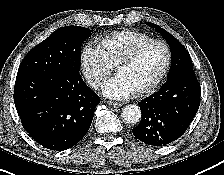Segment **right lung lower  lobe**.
<instances>
[{
  "mask_svg": "<svg viewBox=\"0 0 224 175\" xmlns=\"http://www.w3.org/2000/svg\"><path fill=\"white\" fill-rule=\"evenodd\" d=\"M14 102L31 137L50 150H66L87 133L100 103L81 75L17 74Z\"/></svg>",
  "mask_w": 224,
  "mask_h": 175,
  "instance_id": "98d812e1",
  "label": "right lung lower lobe"
}]
</instances>
